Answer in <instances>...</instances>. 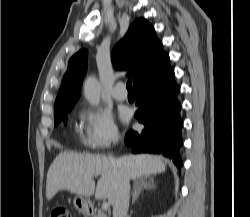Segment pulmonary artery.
<instances>
[{
	"label": "pulmonary artery",
	"mask_w": 250,
	"mask_h": 217,
	"mask_svg": "<svg viewBox=\"0 0 250 217\" xmlns=\"http://www.w3.org/2000/svg\"><path fill=\"white\" fill-rule=\"evenodd\" d=\"M112 96L117 101H125L127 99V92L125 90V85L122 82H118L113 90Z\"/></svg>",
	"instance_id": "obj_1"
}]
</instances>
